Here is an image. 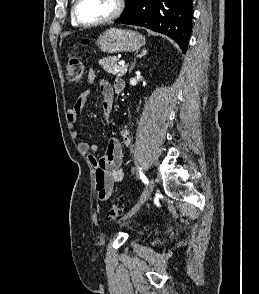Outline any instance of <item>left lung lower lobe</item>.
<instances>
[{
	"label": "left lung lower lobe",
	"instance_id": "obj_1",
	"mask_svg": "<svg viewBox=\"0 0 259 294\" xmlns=\"http://www.w3.org/2000/svg\"><path fill=\"white\" fill-rule=\"evenodd\" d=\"M193 0H133L132 9L115 23L143 26L171 37L186 51L190 39Z\"/></svg>",
	"mask_w": 259,
	"mask_h": 294
}]
</instances>
